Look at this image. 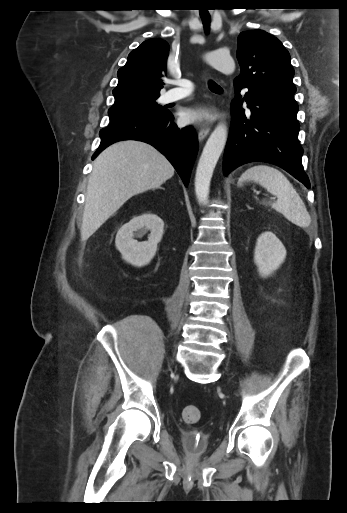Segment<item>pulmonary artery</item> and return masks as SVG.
Instances as JSON below:
<instances>
[{"label": "pulmonary artery", "instance_id": "obj_1", "mask_svg": "<svg viewBox=\"0 0 347 513\" xmlns=\"http://www.w3.org/2000/svg\"><path fill=\"white\" fill-rule=\"evenodd\" d=\"M178 87L169 90L165 97L164 102H173L185 98L192 93L193 84L187 79H180L177 81Z\"/></svg>", "mask_w": 347, "mask_h": 513}]
</instances>
